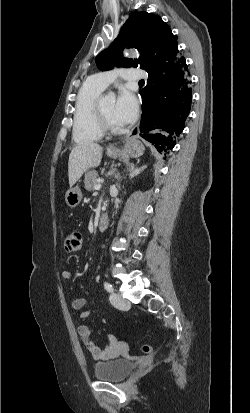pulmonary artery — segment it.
<instances>
[{"label": "pulmonary artery", "mask_w": 250, "mask_h": 413, "mask_svg": "<svg viewBox=\"0 0 250 413\" xmlns=\"http://www.w3.org/2000/svg\"><path fill=\"white\" fill-rule=\"evenodd\" d=\"M118 76L126 80H140L146 77L145 72L138 68H119L110 71H104L95 74L91 79L92 81L102 89L109 86Z\"/></svg>", "instance_id": "e3ab8cb5"}]
</instances>
